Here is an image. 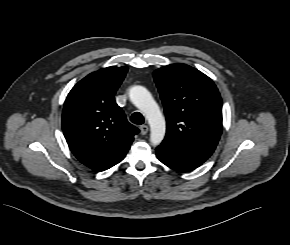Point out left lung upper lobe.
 I'll use <instances>...</instances> for the list:
<instances>
[{
    "instance_id": "5c2ea615",
    "label": "left lung upper lobe",
    "mask_w": 290,
    "mask_h": 245,
    "mask_svg": "<svg viewBox=\"0 0 290 245\" xmlns=\"http://www.w3.org/2000/svg\"><path fill=\"white\" fill-rule=\"evenodd\" d=\"M153 75L167 121L161 145L206 161L222 132V100L214 82L186 64H171Z\"/></svg>"
}]
</instances>
